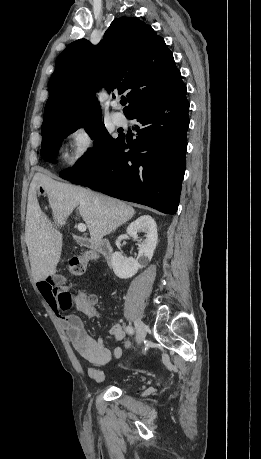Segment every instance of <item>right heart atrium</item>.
I'll return each mask as SVG.
<instances>
[{"label":"right heart atrium","instance_id":"right-heart-atrium-1","mask_svg":"<svg viewBox=\"0 0 261 459\" xmlns=\"http://www.w3.org/2000/svg\"><path fill=\"white\" fill-rule=\"evenodd\" d=\"M68 151L65 155L67 167L80 165L94 148L96 137L91 127L79 124L73 127L67 135Z\"/></svg>","mask_w":261,"mask_h":459}]
</instances>
